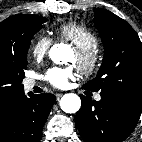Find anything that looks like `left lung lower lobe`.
<instances>
[{
  "mask_svg": "<svg viewBox=\"0 0 142 142\" xmlns=\"http://www.w3.org/2000/svg\"><path fill=\"white\" fill-rule=\"evenodd\" d=\"M82 106L76 125L85 142H122L134 130L142 107L101 97L92 101L80 95Z\"/></svg>",
  "mask_w": 142,
  "mask_h": 142,
  "instance_id": "left-lung-lower-lobe-1",
  "label": "left lung lower lobe"
}]
</instances>
